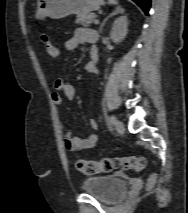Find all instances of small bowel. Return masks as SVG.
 I'll use <instances>...</instances> for the list:
<instances>
[{
	"mask_svg": "<svg viewBox=\"0 0 188 213\" xmlns=\"http://www.w3.org/2000/svg\"><path fill=\"white\" fill-rule=\"evenodd\" d=\"M98 40V33L91 28L79 27L73 35L65 42V48L68 51L75 50L80 44H90L91 49V60L86 64V71L92 75H99L98 68V55L95 47V43ZM62 94L69 100H73L76 96L75 87L65 81L56 80L53 83V91L51 93V100L54 105L61 106L63 103ZM91 129L95 130L98 126L94 119L89 121ZM63 143L68 151H80L94 148L98 143V136L96 134H90L87 137H78L70 133L67 127L63 126Z\"/></svg>",
	"mask_w": 188,
	"mask_h": 213,
	"instance_id": "small-bowel-1",
	"label": "small bowel"
}]
</instances>
